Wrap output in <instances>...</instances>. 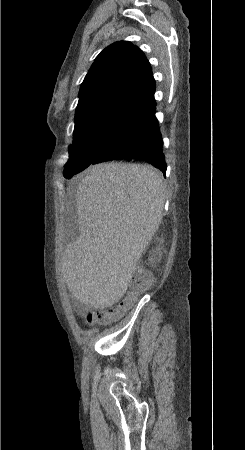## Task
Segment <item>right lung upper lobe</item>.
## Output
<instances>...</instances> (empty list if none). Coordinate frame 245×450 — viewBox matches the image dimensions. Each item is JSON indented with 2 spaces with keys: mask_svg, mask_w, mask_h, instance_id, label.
<instances>
[{
  "mask_svg": "<svg viewBox=\"0 0 245 450\" xmlns=\"http://www.w3.org/2000/svg\"><path fill=\"white\" fill-rule=\"evenodd\" d=\"M155 81L143 52L126 41L105 48L95 59L79 91L76 114L94 106L143 111L154 106Z\"/></svg>",
  "mask_w": 245,
  "mask_h": 450,
  "instance_id": "obj_1",
  "label": "right lung upper lobe"
}]
</instances>
